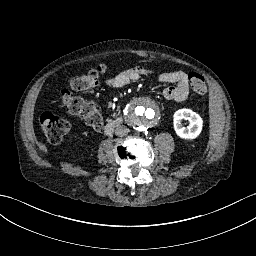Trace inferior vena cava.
<instances>
[{
    "label": "inferior vena cava",
    "mask_w": 256,
    "mask_h": 256,
    "mask_svg": "<svg viewBox=\"0 0 256 256\" xmlns=\"http://www.w3.org/2000/svg\"><path fill=\"white\" fill-rule=\"evenodd\" d=\"M130 132V129L127 126L119 125L115 129V133L118 136H126Z\"/></svg>",
    "instance_id": "1"
}]
</instances>
